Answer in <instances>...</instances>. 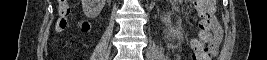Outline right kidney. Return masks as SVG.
<instances>
[{"label":"right kidney","instance_id":"1","mask_svg":"<svg viewBox=\"0 0 267 60\" xmlns=\"http://www.w3.org/2000/svg\"><path fill=\"white\" fill-rule=\"evenodd\" d=\"M105 0H82V9L87 18H95L102 11Z\"/></svg>","mask_w":267,"mask_h":60}]
</instances>
